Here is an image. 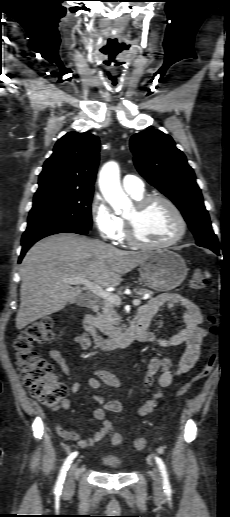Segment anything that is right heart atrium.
<instances>
[{"label": "right heart atrium", "mask_w": 230, "mask_h": 517, "mask_svg": "<svg viewBox=\"0 0 230 517\" xmlns=\"http://www.w3.org/2000/svg\"><path fill=\"white\" fill-rule=\"evenodd\" d=\"M91 215L99 235L104 240H118L123 229V221L101 196L93 199Z\"/></svg>", "instance_id": "d8ad5b80"}]
</instances>
